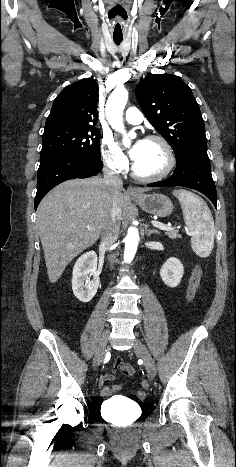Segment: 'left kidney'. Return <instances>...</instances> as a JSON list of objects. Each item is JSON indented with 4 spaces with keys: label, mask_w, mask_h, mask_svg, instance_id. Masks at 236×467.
Segmentation results:
<instances>
[{
    "label": "left kidney",
    "mask_w": 236,
    "mask_h": 467,
    "mask_svg": "<svg viewBox=\"0 0 236 467\" xmlns=\"http://www.w3.org/2000/svg\"><path fill=\"white\" fill-rule=\"evenodd\" d=\"M184 267L177 258H169L160 269L162 281L169 287H177L183 277Z\"/></svg>",
    "instance_id": "1"
}]
</instances>
